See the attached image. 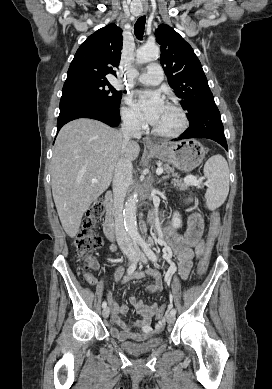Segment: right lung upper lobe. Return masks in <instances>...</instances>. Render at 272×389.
<instances>
[{"label":"right lung upper lobe","instance_id":"1","mask_svg":"<svg viewBox=\"0 0 272 389\" xmlns=\"http://www.w3.org/2000/svg\"><path fill=\"white\" fill-rule=\"evenodd\" d=\"M122 44V30L115 24L97 30L78 48L64 84L116 76L114 68L119 65Z\"/></svg>","mask_w":272,"mask_h":389}]
</instances>
